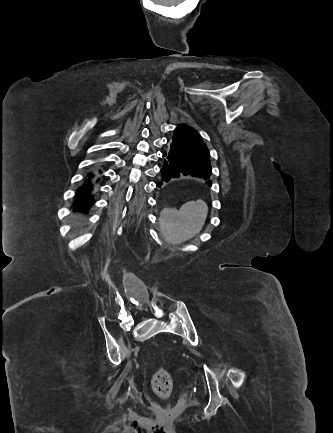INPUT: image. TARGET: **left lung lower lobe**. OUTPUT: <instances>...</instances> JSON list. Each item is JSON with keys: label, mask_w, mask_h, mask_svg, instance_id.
Segmentation results:
<instances>
[{"label": "left lung lower lobe", "mask_w": 333, "mask_h": 433, "mask_svg": "<svg viewBox=\"0 0 333 433\" xmlns=\"http://www.w3.org/2000/svg\"><path fill=\"white\" fill-rule=\"evenodd\" d=\"M163 157L161 181L158 182V187L183 176L209 179L212 174L209 160L200 157L177 141L168 140Z\"/></svg>", "instance_id": "obj_1"}]
</instances>
